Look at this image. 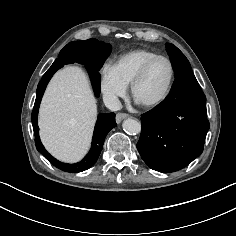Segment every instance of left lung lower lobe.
I'll return each mask as SVG.
<instances>
[{"label": "left lung lower lobe", "mask_w": 236, "mask_h": 236, "mask_svg": "<svg viewBox=\"0 0 236 236\" xmlns=\"http://www.w3.org/2000/svg\"><path fill=\"white\" fill-rule=\"evenodd\" d=\"M206 98L192 71L173 83L168 96L141 116L137 149L153 170L169 173L189 165L204 147L210 127Z\"/></svg>", "instance_id": "1"}]
</instances>
